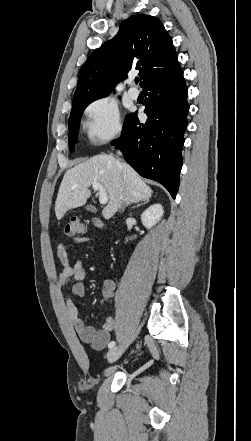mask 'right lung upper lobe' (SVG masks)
<instances>
[{
    "instance_id": "1",
    "label": "right lung upper lobe",
    "mask_w": 251,
    "mask_h": 441,
    "mask_svg": "<svg viewBox=\"0 0 251 441\" xmlns=\"http://www.w3.org/2000/svg\"><path fill=\"white\" fill-rule=\"evenodd\" d=\"M177 66L178 55L163 24L150 15H134L83 64L73 101L107 96L132 69L140 71V85L144 87Z\"/></svg>"
}]
</instances>
